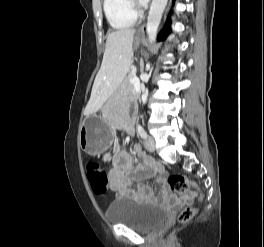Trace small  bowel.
Listing matches in <instances>:
<instances>
[{
    "label": "small bowel",
    "instance_id": "1",
    "mask_svg": "<svg viewBox=\"0 0 264 247\" xmlns=\"http://www.w3.org/2000/svg\"><path fill=\"white\" fill-rule=\"evenodd\" d=\"M127 132L132 131V126L127 125ZM134 153L142 158V163L133 167L131 155L121 149L107 153L105 161H112L113 167L109 171L110 189L116 192L119 199H148L154 201H167L173 195L167 185V174L161 164L152 157L147 156L139 144L133 147ZM154 178L161 185V190L155 194L154 189L141 183L142 180ZM137 183L136 189H133Z\"/></svg>",
    "mask_w": 264,
    "mask_h": 247
}]
</instances>
